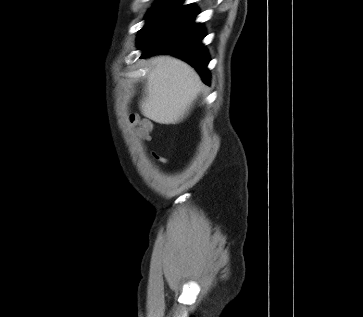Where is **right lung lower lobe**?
I'll use <instances>...</instances> for the list:
<instances>
[{
  "label": "right lung lower lobe",
  "instance_id": "98d812e1",
  "mask_svg": "<svg viewBox=\"0 0 363 317\" xmlns=\"http://www.w3.org/2000/svg\"><path fill=\"white\" fill-rule=\"evenodd\" d=\"M196 9L192 5H179L161 17L138 39L141 57L156 53H171L190 63L209 84L207 64L209 58L202 39L205 31L201 24L194 23Z\"/></svg>",
  "mask_w": 363,
  "mask_h": 317
}]
</instances>
